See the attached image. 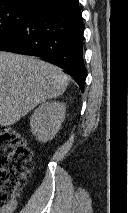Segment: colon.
<instances>
[{
  "label": "colon",
  "instance_id": "colon-1",
  "mask_svg": "<svg viewBox=\"0 0 128 213\" xmlns=\"http://www.w3.org/2000/svg\"><path fill=\"white\" fill-rule=\"evenodd\" d=\"M0 143L4 154L0 157V204L19 196L30 175L33 152L27 141L17 131L0 127Z\"/></svg>",
  "mask_w": 128,
  "mask_h": 213
}]
</instances>
